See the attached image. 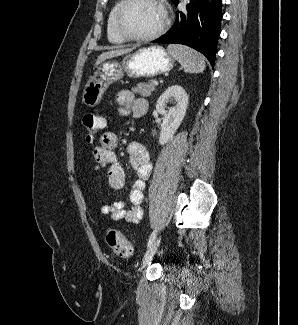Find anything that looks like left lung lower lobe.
<instances>
[{
  "label": "left lung lower lobe",
  "mask_w": 298,
  "mask_h": 325,
  "mask_svg": "<svg viewBox=\"0 0 298 325\" xmlns=\"http://www.w3.org/2000/svg\"><path fill=\"white\" fill-rule=\"evenodd\" d=\"M179 0L174 2L177 5ZM187 13L179 12L175 24L153 43H178L204 54L212 66L222 19V0H193Z\"/></svg>",
  "instance_id": "1"
}]
</instances>
